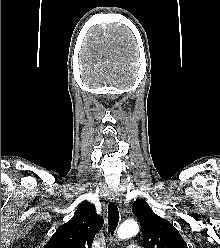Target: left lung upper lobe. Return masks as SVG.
Masks as SVG:
<instances>
[{"instance_id": "obj_1", "label": "left lung upper lobe", "mask_w": 220, "mask_h": 248, "mask_svg": "<svg viewBox=\"0 0 220 248\" xmlns=\"http://www.w3.org/2000/svg\"><path fill=\"white\" fill-rule=\"evenodd\" d=\"M132 212L140 222L144 248H188L178 230L156 215L143 199L134 202Z\"/></svg>"}]
</instances>
